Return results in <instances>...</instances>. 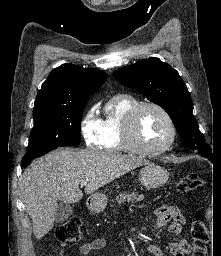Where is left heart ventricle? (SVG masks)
<instances>
[{
	"mask_svg": "<svg viewBox=\"0 0 221 256\" xmlns=\"http://www.w3.org/2000/svg\"><path fill=\"white\" fill-rule=\"evenodd\" d=\"M138 135L146 147L158 148L169 138L168 123L158 110L147 107L138 118Z\"/></svg>",
	"mask_w": 221,
	"mask_h": 256,
	"instance_id": "left-heart-ventricle-1",
	"label": "left heart ventricle"
}]
</instances>
